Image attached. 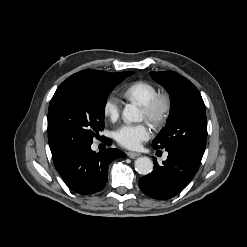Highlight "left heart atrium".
<instances>
[{"mask_svg": "<svg viewBox=\"0 0 247 247\" xmlns=\"http://www.w3.org/2000/svg\"><path fill=\"white\" fill-rule=\"evenodd\" d=\"M151 136V129L146 123L123 124L115 132L117 142L128 149H137Z\"/></svg>", "mask_w": 247, "mask_h": 247, "instance_id": "left-heart-atrium-1", "label": "left heart atrium"}]
</instances>
